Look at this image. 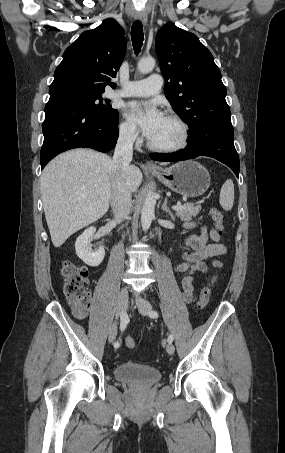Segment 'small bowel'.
<instances>
[{"mask_svg": "<svg viewBox=\"0 0 285 453\" xmlns=\"http://www.w3.org/2000/svg\"><path fill=\"white\" fill-rule=\"evenodd\" d=\"M196 224L188 222L186 228H193ZM220 234L213 228L202 227L199 234L190 235L186 246L190 249L183 254V261L175 266V272L184 274L181 281L184 300L191 303L195 297V275L208 272L207 262L215 267H221L222 263L216 257L226 253V247L219 242ZM215 281V278L213 279Z\"/></svg>", "mask_w": 285, "mask_h": 453, "instance_id": "small-bowel-1", "label": "small bowel"}]
</instances>
